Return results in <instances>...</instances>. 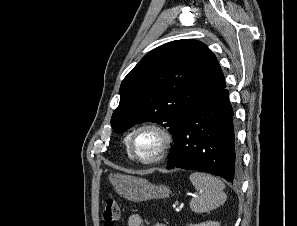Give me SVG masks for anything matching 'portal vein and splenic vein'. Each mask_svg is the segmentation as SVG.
<instances>
[{
	"label": "portal vein and splenic vein",
	"instance_id": "18ae733b",
	"mask_svg": "<svg viewBox=\"0 0 297 226\" xmlns=\"http://www.w3.org/2000/svg\"><path fill=\"white\" fill-rule=\"evenodd\" d=\"M174 205H175V206H178V205H179V202H178V201H176V202L174 203Z\"/></svg>",
	"mask_w": 297,
	"mask_h": 226
}]
</instances>
